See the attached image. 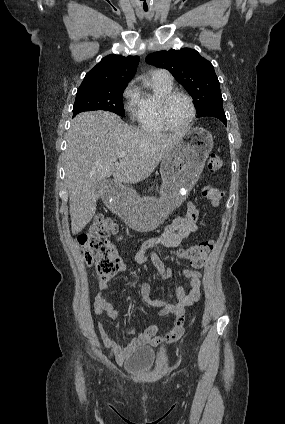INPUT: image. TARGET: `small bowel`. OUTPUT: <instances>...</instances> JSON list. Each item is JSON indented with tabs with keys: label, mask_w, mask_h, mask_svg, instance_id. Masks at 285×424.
<instances>
[{
	"label": "small bowel",
	"mask_w": 285,
	"mask_h": 424,
	"mask_svg": "<svg viewBox=\"0 0 285 424\" xmlns=\"http://www.w3.org/2000/svg\"><path fill=\"white\" fill-rule=\"evenodd\" d=\"M199 211L194 204H189L186 215H178L173 218L171 223L164 229L163 233L157 237L145 240L138 250L134 258L138 264L151 263L158 273L159 277L164 281H169L173 276V271L167 267L159 257V249L161 247L173 248L180 245L181 241L190 237L198 231ZM150 251V257L147 252ZM202 266V265H201ZM201 266H195L196 269H184L181 275L187 281V286L183 284H173L170 299L174 301H161L151 297V287L144 283L139 288L142 300L152 307L161 308L159 315L161 317L173 315L175 317L174 325L166 334L159 336L157 326L147 327L137 337L132 338L127 346L119 345L107 332L103 323H99L98 329L101 340L105 347L109 349L115 356L118 363L123 364L128 354L135 348L140 346L157 347L164 343L176 341L184 333V310L186 307L197 302L201 296ZM126 270L125 264L122 263V271ZM124 281L130 282L128 276L123 277ZM109 288L107 279L101 277L96 280V296L94 299L93 309L96 315H104L116 321L119 319V312L115 306L106 297V291ZM182 317L181 326L177 327V321ZM133 333L132 329H128Z\"/></svg>",
	"instance_id": "small-bowel-1"
}]
</instances>
